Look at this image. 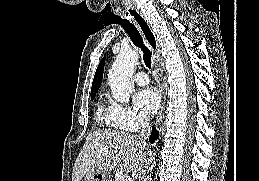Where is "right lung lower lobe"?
Masks as SVG:
<instances>
[{
    "label": "right lung lower lobe",
    "instance_id": "right-lung-lower-lobe-1",
    "mask_svg": "<svg viewBox=\"0 0 259 181\" xmlns=\"http://www.w3.org/2000/svg\"><path fill=\"white\" fill-rule=\"evenodd\" d=\"M157 137H158V131L155 128H153L149 141L153 143L157 139Z\"/></svg>",
    "mask_w": 259,
    "mask_h": 181
}]
</instances>
